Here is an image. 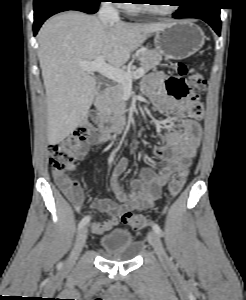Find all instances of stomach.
Returning a JSON list of instances; mask_svg holds the SVG:
<instances>
[{
	"label": "stomach",
	"instance_id": "stomach-1",
	"mask_svg": "<svg viewBox=\"0 0 246 300\" xmlns=\"http://www.w3.org/2000/svg\"><path fill=\"white\" fill-rule=\"evenodd\" d=\"M205 43L202 29L186 20L168 23L157 31L154 44L157 51L169 59H185L199 51Z\"/></svg>",
	"mask_w": 246,
	"mask_h": 300
}]
</instances>
